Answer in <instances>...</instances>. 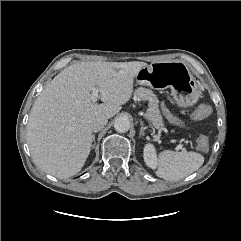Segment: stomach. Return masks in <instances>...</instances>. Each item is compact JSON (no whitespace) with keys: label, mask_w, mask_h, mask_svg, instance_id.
<instances>
[{"label":"stomach","mask_w":241,"mask_h":241,"mask_svg":"<svg viewBox=\"0 0 241 241\" xmlns=\"http://www.w3.org/2000/svg\"><path fill=\"white\" fill-rule=\"evenodd\" d=\"M136 81L155 90L170 88L181 107L193 105L199 97L198 86L189 68L182 61L154 62L138 71Z\"/></svg>","instance_id":"1"}]
</instances>
